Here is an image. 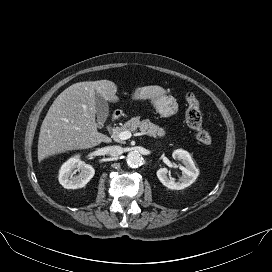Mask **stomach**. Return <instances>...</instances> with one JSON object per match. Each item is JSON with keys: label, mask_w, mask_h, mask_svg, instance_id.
Returning <instances> with one entry per match:
<instances>
[{"label": "stomach", "mask_w": 272, "mask_h": 272, "mask_svg": "<svg viewBox=\"0 0 272 272\" xmlns=\"http://www.w3.org/2000/svg\"><path fill=\"white\" fill-rule=\"evenodd\" d=\"M150 100L156 111L163 117H170L178 112V103L171 96L160 95Z\"/></svg>", "instance_id": "1"}]
</instances>
